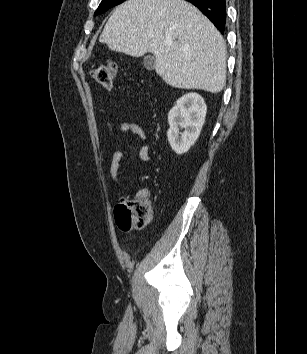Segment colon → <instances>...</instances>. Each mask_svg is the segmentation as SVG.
<instances>
[{
	"label": "colon",
	"instance_id": "5ec220e1",
	"mask_svg": "<svg viewBox=\"0 0 307 354\" xmlns=\"http://www.w3.org/2000/svg\"><path fill=\"white\" fill-rule=\"evenodd\" d=\"M117 72L113 62L103 63L91 71L93 79L105 89L112 87ZM119 229L127 231L145 227L152 217L151 202L147 198H122L114 209Z\"/></svg>",
	"mask_w": 307,
	"mask_h": 354
}]
</instances>
